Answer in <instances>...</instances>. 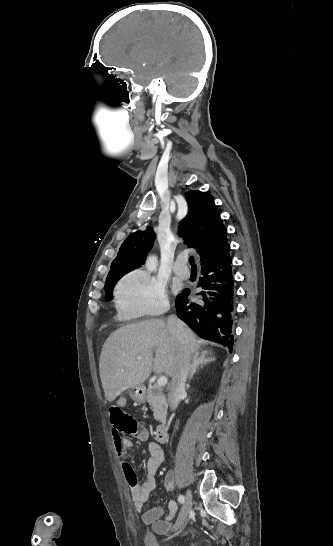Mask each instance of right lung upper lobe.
<instances>
[{
	"label": "right lung upper lobe",
	"mask_w": 333,
	"mask_h": 546,
	"mask_svg": "<svg viewBox=\"0 0 333 546\" xmlns=\"http://www.w3.org/2000/svg\"><path fill=\"white\" fill-rule=\"evenodd\" d=\"M185 198L188 214L179 225V234L188 246L197 249L201 263L208 262L228 244L227 229L211 195L194 190L187 192ZM154 240L155 233L151 227L129 235L113 260L109 274L131 271L144 264Z\"/></svg>",
	"instance_id": "obj_1"
}]
</instances>
